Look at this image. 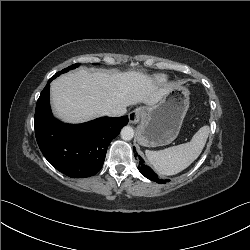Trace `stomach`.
Returning a JSON list of instances; mask_svg holds the SVG:
<instances>
[{"label": "stomach", "instance_id": "0dacf381", "mask_svg": "<svg viewBox=\"0 0 250 250\" xmlns=\"http://www.w3.org/2000/svg\"><path fill=\"white\" fill-rule=\"evenodd\" d=\"M189 108V91L177 86L157 104L144 108L145 114L137 129V141L146 147L173 142L181 129Z\"/></svg>", "mask_w": 250, "mask_h": 250}]
</instances>
